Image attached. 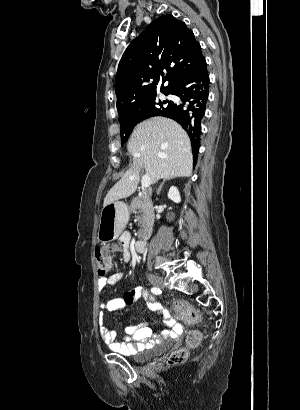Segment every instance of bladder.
Wrapping results in <instances>:
<instances>
[{"label":"bladder","instance_id":"31cf9c89","mask_svg":"<svg viewBox=\"0 0 300 410\" xmlns=\"http://www.w3.org/2000/svg\"><path fill=\"white\" fill-rule=\"evenodd\" d=\"M169 342H170L169 340L166 341V344H168ZM154 350H155V349H152V350L143 352V353H141V354H136V355L133 356V358H134V360L137 361V362L146 361V360H148V359H150V358L152 357Z\"/></svg>","mask_w":300,"mask_h":410}]
</instances>
